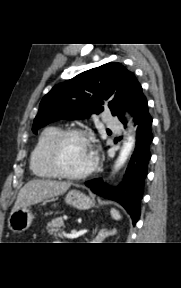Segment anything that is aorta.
Wrapping results in <instances>:
<instances>
[{"label": "aorta", "mask_w": 181, "mask_h": 288, "mask_svg": "<svg viewBox=\"0 0 181 288\" xmlns=\"http://www.w3.org/2000/svg\"><path fill=\"white\" fill-rule=\"evenodd\" d=\"M134 143H135L134 137L129 135V137L127 138V141L123 144V147L119 153L118 159L115 163V166H114L115 171L119 170L124 165L130 152L133 149Z\"/></svg>", "instance_id": "1"}]
</instances>
